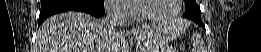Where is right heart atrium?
Here are the masks:
<instances>
[{"label":"right heart atrium","mask_w":261,"mask_h":52,"mask_svg":"<svg viewBox=\"0 0 261 52\" xmlns=\"http://www.w3.org/2000/svg\"><path fill=\"white\" fill-rule=\"evenodd\" d=\"M105 9L113 18H128L130 16L124 0H106Z\"/></svg>","instance_id":"1"}]
</instances>
